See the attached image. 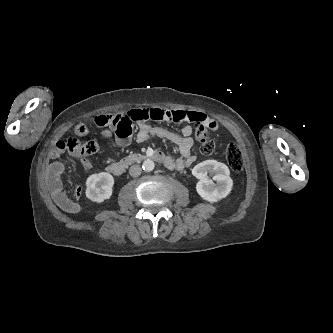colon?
Here are the masks:
<instances>
[{
    "label": "colon",
    "mask_w": 333,
    "mask_h": 333,
    "mask_svg": "<svg viewBox=\"0 0 333 333\" xmlns=\"http://www.w3.org/2000/svg\"><path fill=\"white\" fill-rule=\"evenodd\" d=\"M98 127H109L114 130L117 135L125 136L130 132V125L126 114H102L95 118ZM76 136H84L88 133V129L84 124H77L74 127ZM195 136L199 140L201 146L200 151L204 155H211L215 151V143L209 136V131L202 124L195 125ZM99 149V143L95 140L81 142L76 137L68 138L65 141H58L53 150L54 156L67 151L71 155L83 158L89 156ZM227 164L234 172H240L243 167V156L234 143H230L225 151Z\"/></svg>",
    "instance_id": "1"
}]
</instances>
